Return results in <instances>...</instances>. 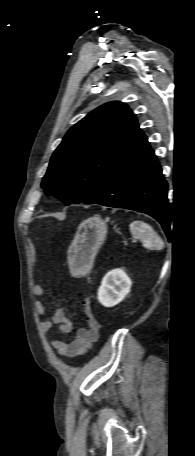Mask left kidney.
<instances>
[{"mask_svg": "<svg viewBox=\"0 0 195 456\" xmlns=\"http://www.w3.org/2000/svg\"><path fill=\"white\" fill-rule=\"evenodd\" d=\"M131 285V279L122 269H114L102 279L98 289V301L105 307H113L126 297Z\"/></svg>", "mask_w": 195, "mask_h": 456, "instance_id": "obj_1", "label": "left kidney"}]
</instances>
